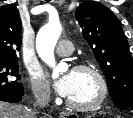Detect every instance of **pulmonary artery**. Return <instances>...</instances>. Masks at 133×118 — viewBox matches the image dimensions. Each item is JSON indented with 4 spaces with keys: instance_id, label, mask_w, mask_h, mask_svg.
<instances>
[{
    "instance_id": "obj_1",
    "label": "pulmonary artery",
    "mask_w": 133,
    "mask_h": 118,
    "mask_svg": "<svg viewBox=\"0 0 133 118\" xmlns=\"http://www.w3.org/2000/svg\"><path fill=\"white\" fill-rule=\"evenodd\" d=\"M73 52V44L69 40H60L57 45L56 53L60 57H66Z\"/></svg>"
}]
</instances>
